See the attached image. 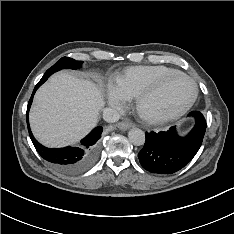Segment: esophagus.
Masks as SVG:
<instances>
[{
  "instance_id": "esophagus-1",
  "label": "esophagus",
  "mask_w": 234,
  "mask_h": 234,
  "mask_svg": "<svg viewBox=\"0 0 234 234\" xmlns=\"http://www.w3.org/2000/svg\"><path fill=\"white\" fill-rule=\"evenodd\" d=\"M117 127L120 130H128L129 128L132 127V124L129 121H121L117 124Z\"/></svg>"
}]
</instances>
